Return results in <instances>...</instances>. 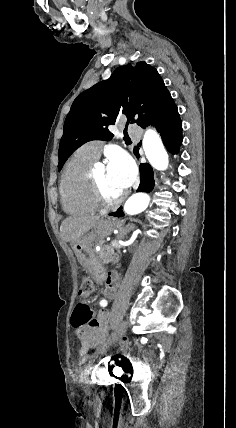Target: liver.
I'll use <instances>...</instances> for the list:
<instances>
[{
  "instance_id": "liver-1",
  "label": "liver",
  "mask_w": 236,
  "mask_h": 428,
  "mask_svg": "<svg viewBox=\"0 0 236 428\" xmlns=\"http://www.w3.org/2000/svg\"><path fill=\"white\" fill-rule=\"evenodd\" d=\"M97 216H70L63 220L60 226V234L64 242H77L91 228L98 224Z\"/></svg>"
}]
</instances>
